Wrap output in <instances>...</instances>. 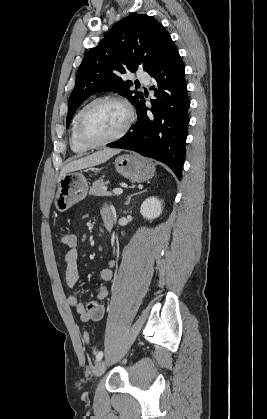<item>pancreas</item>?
Returning <instances> with one entry per match:
<instances>
[{"label": "pancreas", "mask_w": 267, "mask_h": 419, "mask_svg": "<svg viewBox=\"0 0 267 419\" xmlns=\"http://www.w3.org/2000/svg\"><path fill=\"white\" fill-rule=\"evenodd\" d=\"M108 184L102 179L96 180L93 182L92 186L90 187L89 194L93 196H111V192H107L104 187Z\"/></svg>", "instance_id": "obj_1"}]
</instances>
